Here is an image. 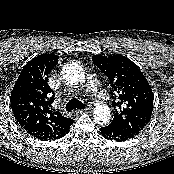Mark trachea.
Segmentation results:
<instances>
[{
	"instance_id": "trachea-1",
	"label": "trachea",
	"mask_w": 174,
	"mask_h": 174,
	"mask_svg": "<svg viewBox=\"0 0 174 174\" xmlns=\"http://www.w3.org/2000/svg\"><path fill=\"white\" fill-rule=\"evenodd\" d=\"M85 105L79 101L76 98H72L66 105L65 109L67 111L73 110V109H84Z\"/></svg>"
}]
</instances>
